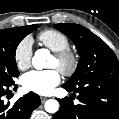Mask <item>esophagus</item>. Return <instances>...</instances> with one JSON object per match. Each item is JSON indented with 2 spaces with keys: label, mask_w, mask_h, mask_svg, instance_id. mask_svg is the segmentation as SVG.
Returning <instances> with one entry per match:
<instances>
[{
  "label": "esophagus",
  "mask_w": 119,
  "mask_h": 119,
  "mask_svg": "<svg viewBox=\"0 0 119 119\" xmlns=\"http://www.w3.org/2000/svg\"><path fill=\"white\" fill-rule=\"evenodd\" d=\"M42 102H45L48 98L47 97H40Z\"/></svg>",
  "instance_id": "1"
}]
</instances>
